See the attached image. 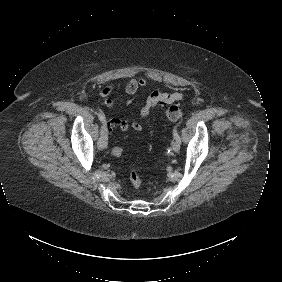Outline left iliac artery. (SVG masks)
Segmentation results:
<instances>
[{
	"label": "left iliac artery",
	"instance_id": "1",
	"mask_svg": "<svg viewBox=\"0 0 282 282\" xmlns=\"http://www.w3.org/2000/svg\"><path fill=\"white\" fill-rule=\"evenodd\" d=\"M173 136H174V139L178 140L181 143V140H180V137L178 135L176 126L173 128Z\"/></svg>",
	"mask_w": 282,
	"mask_h": 282
}]
</instances>
